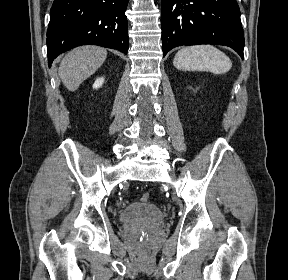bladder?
<instances>
[{"label": "bladder", "instance_id": "obj_1", "mask_svg": "<svg viewBox=\"0 0 288 280\" xmlns=\"http://www.w3.org/2000/svg\"><path fill=\"white\" fill-rule=\"evenodd\" d=\"M119 220L131 227L153 228L162 222L164 214L153 204L131 203L119 212Z\"/></svg>", "mask_w": 288, "mask_h": 280}]
</instances>
